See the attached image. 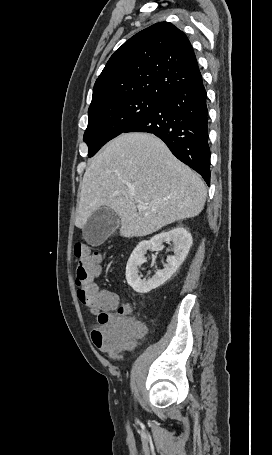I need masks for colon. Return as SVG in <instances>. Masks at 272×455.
I'll return each instance as SVG.
<instances>
[{"label":"colon","instance_id":"obj_1","mask_svg":"<svg viewBox=\"0 0 272 455\" xmlns=\"http://www.w3.org/2000/svg\"><path fill=\"white\" fill-rule=\"evenodd\" d=\"M75 284L77 296L97 315L91 330V340L96 348L109 356L132 343L144 334V326L128 316V307L120 306L118 297L99 286L95 278L99 274L101 256L87 245L77 243Z\"/></svg>","mask_w":272,"mask_h":455}]
</instances>
